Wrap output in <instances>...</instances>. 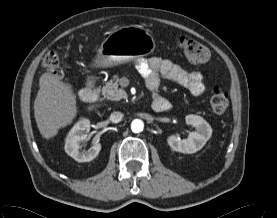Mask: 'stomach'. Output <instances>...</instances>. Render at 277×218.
I'll use <instances>...</instances> for the list:
<instances>
[{
  "label": "stomach",
  "mask_w": 277,
  "mask_h": 218,
  "mask_svg": "<svg viewBox=\"0 0 277 218\" xmlns=\"http://www.w3.org/2000/svg\"><path fill=\"white\" fill-rule=\"evenodd\" d=\"M155 47L153 37L142 27L122 26L112 31L101 43L95 63L100 67H113L151 54Z\"/></svg>",
  "instance_id": "obj_1"
}]
</instances>
